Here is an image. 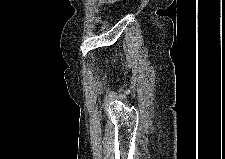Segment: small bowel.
<instances>
[{
	"label": "small bowel",
	"instance_id": "obj_1",
	"mask_svg": "<svg viewBox=\"0 0 225 159\" xmlns=\"http://www.w3.org/2000/svg\"><path fill=\"white\" fill-rule=\"evenodd\" d=\"M103 3L101 1L97 2V6H101Z\"/></svg>",
	"mask_w": 225,
	"mask_h": 159
}]
</instances>
